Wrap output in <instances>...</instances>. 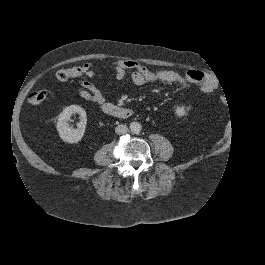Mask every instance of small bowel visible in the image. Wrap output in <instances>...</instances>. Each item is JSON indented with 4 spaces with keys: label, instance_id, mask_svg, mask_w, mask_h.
<instances>
[{
    "label": "small bowel",
    "instance_id": "small-bowel-1",
    "mask_svg": "<svg viewBox=\"0 0 265 265\" xmlns=\"http://www.w3.org/2000/svg\"><path fill=\"white\" fill-rule=\"evenodd\" d=\"M83 66L85 67L84 75L86 78L78 80L77 93L82 99L101 105L106 100L105 96L102 90L89 80L96 75V72L90 63H86ZM109 66L113 70L114 78L117 81L123 80L126 73L132 71L131 80L136 86H143L148 82L155 81L182 86L195 84L203 93H211L217 87L213 78L197 70H188L184 73L173 70H152L133 60H115Z\"/></svg>",
    "mask_w": 265,
    "mask_h": 265
}]
</instances>
